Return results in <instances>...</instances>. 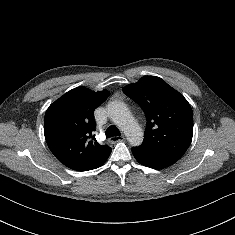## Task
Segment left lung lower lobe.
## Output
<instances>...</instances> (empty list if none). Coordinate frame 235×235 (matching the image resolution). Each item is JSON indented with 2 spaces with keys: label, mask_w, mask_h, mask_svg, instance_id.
Segmentation results:
<instances>
[{
  "label": "left lung lower lobe",
  "mask_w": 235,
  "mask_h": 235,
  "mask_svg": "<svg viewBox=\"0 0 235 235\" xmlns=\"http://www.w3.org/2000/svg\"><path fill=\"white\" fill-rule=\"evenodd\" d=\"M132 153L140 164L155 169H163L171 166L181 158L178 155L142 147L132 148Z\"/></svg>",
  "instance_id": "obj_1"
}]
</instances>
